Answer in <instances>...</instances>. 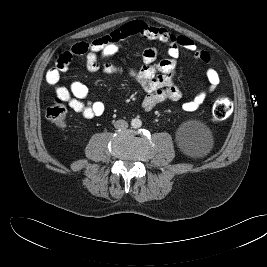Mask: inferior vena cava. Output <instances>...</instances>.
<instances>
[{
    "mask_svg": "<svg viewBox=\"0 0 267 267\" xmlns=\"http://www.w3.org/2000/svg\"><path fill=\"white\" fill-rule=\"evenodd\" d=\"M114 127L116 129H126L128 128V123L125 121V120H117L115 123H114Z\"/></svg>",
    "mask_w": 267,
    "mask_h": 267,
    "instance_id": "inferior-vena-cava-1",
    "label": "inferior vena cava"
}]
</instances>
